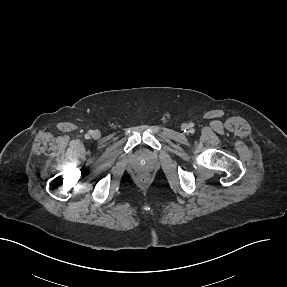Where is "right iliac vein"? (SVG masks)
Wrapping results in <instances>:
<instances>
[{
    "label": "right iliac vein",
    "mask_w": 287,
    "mask_h": 287,
    "mask_svg": "<svg viewBox=\"0 0 287 287\" xmlns=\"http://www.w3.org/2000/svg\"><path fill=\"white\" fill-rule=\"evenodd\" d=\"M93 137H94L95 139H98V138L100 137V133H99L98 131H94V132H93Z\"/></svg>",
    "instance_id": "1"
}]
</instances>
